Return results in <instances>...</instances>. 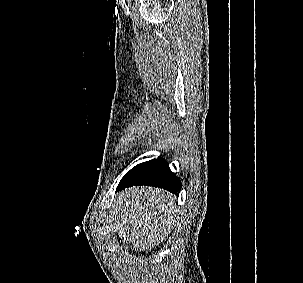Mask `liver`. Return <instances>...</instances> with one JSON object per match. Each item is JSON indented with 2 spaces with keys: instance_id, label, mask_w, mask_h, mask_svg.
<instances>
[{
  "instance_id": "liver-1",
  "label": "liver",
  "mask_w": 303,
  "mask_h": 283,
  "mask_svg": "<svg viewBox=\"0 0 303 283\" xmlns=\"http://www.w3.org/2000/svg\"><path fill=\"white\" fill-rule=\"evenodd\" d=\"M175 196L152 187H133L116 196L113 215L119 225V237L151 250L169 234L177 214Z\"/></svg>"
}]
</instances>
